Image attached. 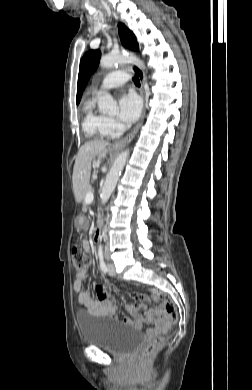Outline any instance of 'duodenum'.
<instances>
[{"label": "duodenum", "mask_w": 252, "mask_h": 390, "mask_svg": "<svg viewBox=\"0 0 252 390\" xmlns=\"http://www.w3.org/2000/svg\"><path fill=\"white\" fill-rule=\"evenodd\" d=\"M103 229H104V223H103V216H101V219H100V225L99 227L96 229V231L94 232V235H93V240L95 242H98L101 240L102 236H103Z\"/></svg>", "instance_id": "obj_1"}]
</instances>
